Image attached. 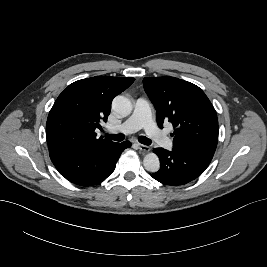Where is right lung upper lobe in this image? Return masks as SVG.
<instances>
[{"mask_svg":"<svg viewBox=\"0 0 267 267\" xmlns=\"http://www.w3.org/2000/svg\"><path fill=\"white\" fill-rule=\"evenodd\" d=\"M134 78L96 76L70 84L49 112L46 134L50 154L87 150L114 142L96 137L95 129L106 122L115 96Z\"/></svg>","mask_w":267,"mask_h":267,"instance_id":"obj_1","label":"right lung upper lobe"}]
</instances>
